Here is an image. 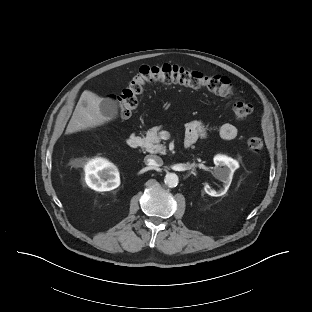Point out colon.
I'll return each mask as SVG.
<instances>
[{
  "mask_svg": "<svg viewBox=\"0 0 312 312\" xmlns=\"http://www.w3.org/2000/svg\"><path fill=\"white\" fill-rule=\"evenodd\" d=\"M152 82L180 83L192 87L205 88L221 97H230L234 85L229 78L220 75H207L177 64L143 65L129 82L128 86L113 97L117 105V113L126 118L137 108L139 97L145 86ZM251 105L245 101H236L232 106L233 117L237 121L246 120L251 114ZM247 147L252 152H259L263 148L260 137L253 136L247 139Z\"/></svg>",
  "mask_w": 312,
  "mask_h": 312,
  "instance_id": "colon-1",
  "label": "colon"
}]
</instances>
